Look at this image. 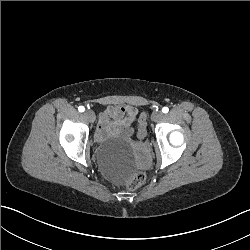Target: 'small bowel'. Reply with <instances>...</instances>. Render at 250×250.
<instances>
[{"label": "small bowel", "instance_id": "obj_1", "mask_svg": "<svg viewBox=\"0 0 250 250\" xmlns=\"http://www.w3.org/2000/svg\"><path fill=\"white\" fill-rule=\"evenodd\" d=\"M136 116V108L130 105L111 106L99 119L96 138L101 139L106 134L118 135L129 138L134 133L132 126ZM112 118V121H109Z\"/></svg>", "mask_w": 250, "mask_h": 250}]
</instances>
